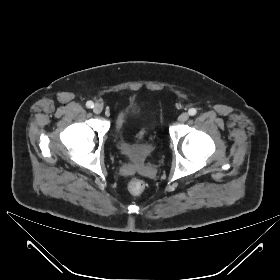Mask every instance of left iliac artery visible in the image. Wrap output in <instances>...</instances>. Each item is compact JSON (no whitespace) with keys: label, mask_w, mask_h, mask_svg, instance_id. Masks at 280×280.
<instances>
[{"label":"left iliac artery","mask_w":280,"mask_h":280,"mask_svg":"<svg viewBox=\"0 0 280 280\" xmlns=\"http://www.w3.org/2000/svg\"><path fill=\"white\" fill-rule=\"evenodd\" d=\"M188 113H189V115L194 116V115H196L197 110L195 108H191V109H189Z\"/></svg>","instance_id":"1"}]
</instances>
